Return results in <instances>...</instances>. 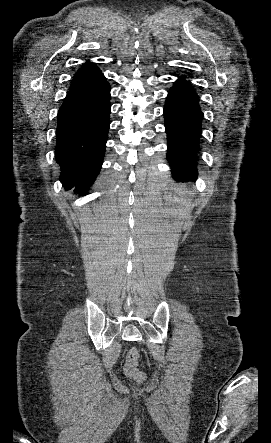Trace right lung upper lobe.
Listing matches in <instances>:
<instances>
[{
    "instance_id": "1",
    "label": "right lung upper lobe",
    "mask_w": 271,
    "mask_h": 443,
    "mask_svg": "<svg viewBox=\"0 0 271 443\" xmlns=\"http://www.w3.org/2000/svg\"><path fill=\"white\" fill-rule=\"evenodd\" d=\"M104 78L96 64L87 62L75 73L71 85L96 82Z\"/></svg>"
}]
</instances>
